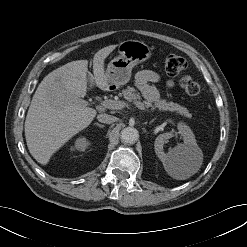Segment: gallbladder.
Instances as JSON below:
<instances>
[{
  "label": "gallbladder",
  "mask_w": 247,
  "mask_h": 247,
  "mask_svg": "<svg viewBox=\"0 0 247 247\" xmlns=\"http://www.w3.org/2000/svg\"><path fill=\"white\" fill-rule=\"evenodd\" d=\"M88 81L90 84H92V81H91V78H90V75H88Z\"/></svg>",
  "instance_id": "1"
}]
</instances>
